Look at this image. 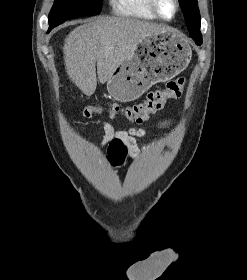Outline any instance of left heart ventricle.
Listing matches in <instances>:
<instances>
[{
	"mask_svg": "<svg viewBox=\"0 0 247 280\" xmlns=\"http://www.w3.org/2000/svg\"><path fill=\"white\" fill-rule=\"evenodd\" d=\"M158 4L160 12L164 17L170 18L173 16L175 11L173 0H158Z\"/></svg>",
	"mask_w": 247,
	"mask_h": 280,
	"instance_id": "obj_1",
	"label": "left heart ventricle"
}]
</instances>
